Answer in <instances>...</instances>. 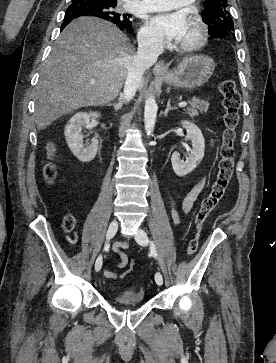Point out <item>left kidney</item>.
I'll return each instance as SVG.
<instances>
[{
	"instance_id": "obj_1",
	"label": "left kidney",
	"mask_w": 276,
	"mask_h": 363,
	"mask_svg": "<svg viewBox=\"0 0 276 363\" xmlns=\"http://www.w3.org/2000/svg\"><path fill=\"white\" fill-rule=\"evenodd\" d=\"M181 125L187 130L185 139L191 140L192 149L186 157V161L180 158L178 152H174L171 157V163L174 172L179 177L186 176L193 171L204 157L205 140L201 130L190 121H182Z\"/></svg>"
}]
</instances>
